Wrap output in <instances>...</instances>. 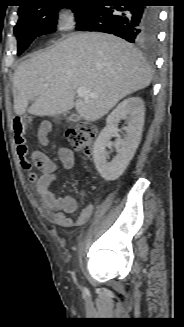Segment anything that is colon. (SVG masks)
I'll use <instances>...</instances> for the list:
<instances>
[{"label":"colon","instance_id":"colon-1","mask_svg":"<svg viewBox=\"0 0 184 327\" xmlns=\"http://www.w3.org/2000/svg\"><path fill=\"white\" fill-rule=\"evenodd\" d=\"M31 121L30 117L16 118L13 122V134L17 147V153L20 157L26 155L28 147L25 139L27 123ZM65 139L76 150L90 155L93 149L94 141L97 137V128L88 121H81L69 127L65 131Z\"/></svg>","mask_w":184,"mask_h":327}]
</instances>
